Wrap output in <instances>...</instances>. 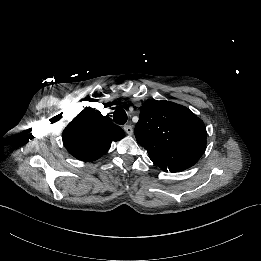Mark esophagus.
<instances>
[{
    "mask_svg": "<svg viewBox=\"0 0 261 261\" xmlns=\"http://www.w3.org/2000/svg\"><path fill=\"white\" fill-rule=\"evenodd\" d=\"M124 130H125V132H126L128 135H132V134H133V128H132V126H130V125H125V126H124Z\"/></svg>",
    "mask_w": 261,
    "mask_h": 261,
    "instance_id": "esophagus-1",
    "label": "esophagus"
}]
</instances>
